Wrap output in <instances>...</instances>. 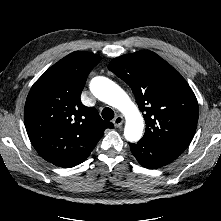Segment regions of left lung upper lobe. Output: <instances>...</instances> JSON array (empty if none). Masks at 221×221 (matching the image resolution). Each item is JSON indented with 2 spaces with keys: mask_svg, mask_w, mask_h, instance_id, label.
<instances>
[{
  "mask_svg": "<svg viewBox=\"0 0 221 221\" xmlns=\"http://www.w3.org/2000/svg\"><path fill=\"white\" fill-rule=\"evenodd\" d=\"M108 69L133 91L146 130L143 140L180 155L196 131L199 108L185 79L148 50L113 59Z\"/></svg>",
  "mask_w": 221,
  "mask_h": 221,
  "instance_id": "left-lung-upper-lobe-1",
  "label": "left lung upper lobe"
}]
</instances>
